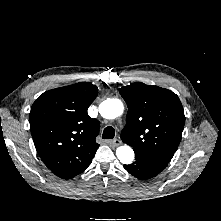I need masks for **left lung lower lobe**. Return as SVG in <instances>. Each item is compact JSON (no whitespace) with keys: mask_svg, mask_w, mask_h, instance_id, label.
<instances>
[{"mask_svg":"<svg viewBox=\"0 0 221 221\" xmlns=\"http://www.w3.org/2000/svg\"><path fill=\"white\" fill-rule=\"evenodd\" d=\"M136 161L130 165H124V168L133 176L140 180L152 178L159 174L168 164L169 161L135 151Z\"/></svg>","mask_w":221,"mask_h":221,"instance_id":"left-lung-lower-lobe-1","label":"left lung lower lobe"}]
</instances>
